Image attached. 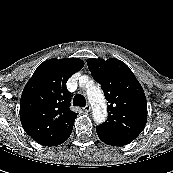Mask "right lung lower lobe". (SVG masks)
<instances>
[{
    "label": "right lung lower lobe",
    "mask_w": 173,
    "mask_h": 173,
    "mask_svg": "<svg viewBox=\"0 0 173 173\" xmlns=\"http://www.w3.org/2000/svg\"><path fill=\"white\" fill-rule=\"evenodd\" d=\"M73 129V127H72ZM72 129L69 130L61 139H59L58 141L54 142V143H51L49 145H46V146H57V145H60L62 143H64L68 138L69 136L71 135V132H72Z\"/></svg>",
    "instance_id": "98d812e1"
}]
</instances>
